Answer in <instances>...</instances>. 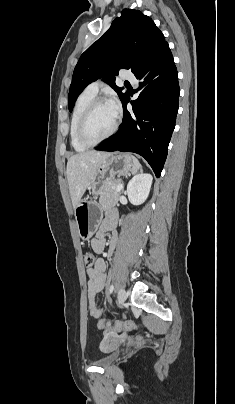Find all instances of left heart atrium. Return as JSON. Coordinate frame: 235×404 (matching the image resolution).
Listing matches in <instances>:
<instances>
[{
	"label": "left heart atrium",
	"mask_w": 235,
	"mask_h": 404,
	"mask_svg": "<svg viewBox=\"0 0 235 404\" xmlns=\"http://www.w3.org/2000/svg\"><path fill=\"white\" fill-rule=\"evenodd\" d=\"M107 104L116 115L120 112V103L117 98L112 97Z\"/></svg>",
	"instance_id": "39dd6f15"
}]
</instances>
